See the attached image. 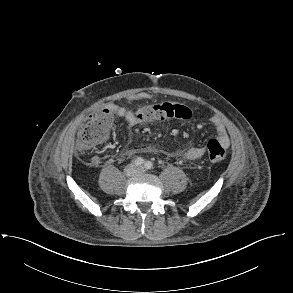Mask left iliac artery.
I'll return each instance as SVG.
<instances>
[{
    "mask_svg": "<svg viewBox=\"0 0 293 293\" xmlns=\"http://www.w3.org/2000/svg\"><path fill=\"white\" fill-rule=\"evenodd\" d=\"M145 169L150 170L153 168V164L150 161H146L144 164Z\"/></svg>",
    "mask_w": 293,
    "mask_h": 293,
    "instance_id": "obj_1",
    "label": "left iliac artery"
}]
</instances>
